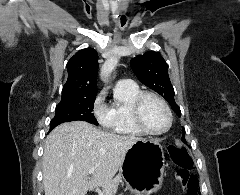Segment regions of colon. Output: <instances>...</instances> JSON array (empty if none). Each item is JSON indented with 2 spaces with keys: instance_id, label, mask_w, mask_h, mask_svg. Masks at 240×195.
<instances>
[{
  "instance_id": "5ec220e1",
  "label": "colon",
  "mask_w": 240,
  "mask_h": 195,
  "mask_svg": "<svg viewBox=\"0 0 240 195\" xmlns=\"http://www.w3.org/2000/svg\"><path fill=\"white\" fill-rule=\"evenodd\" d=\"M171 159L180 166L179 179L186 195H200V182L197 176L189 173L192 165L190 153L181 146L172 147L169 150Z\"/></svg>"
}]
</instances>
